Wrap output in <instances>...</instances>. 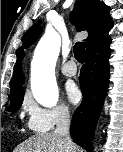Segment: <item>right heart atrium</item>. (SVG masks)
Returning <instances> with one entry per match:
<instances>
[{"label":"right heart atrium","mask_w":123,"mask_h":152,"mask_svg":"<svg viewBox=\"0 0 123 152\" xmlns=\"http://www.w3.org/2000/svg\"><path fill=\"white\" fill-rule=\"evenodd\" d=\"M24 109L28 117V127L35 132L50 131L56 125L68 121L71 117L69 107L63 104L45 108L31 99H26Z\"/></svg>","instance_id":"right-heart-atrium-1"}]
</instances>
